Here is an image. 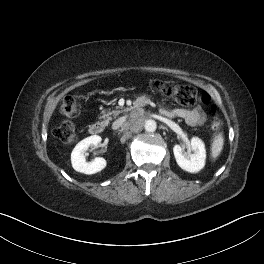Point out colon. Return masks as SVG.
<instances>
[{
	"instance_id": "5ec220e1",
	"label": "colon",
	"mask_w": 264,
	"mask_h": 264,
	"mask_svg": "<svg viewBox=\"0 0 264 264\" xmlns=\"http://www.w3.org/2000/svg\"><path fill=\"white\" fill-rule=\"evenodd\" d=\"M151 87L164 94L167 97L174 99L177 103L183 106H189L197 101L208 103L209 97L206 94H198L194 88L188 85L179 84L174 81L154 80L151 82ZM60 111L68 117H75L79 113V106L74 96H66L61 104ZM212 116V126L217 129L221 125V120L217 109L214 105H210ZM54 135L63 143H73L76 138L75 126L71 122H64L54 130Z\"/></svg>"
}]
</instances>
